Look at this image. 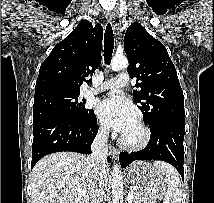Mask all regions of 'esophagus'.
<instances>
[{
  "label": "esophagus",
  "instance_id": "1",
  "mask_svg": "<svg viewBox=\"0 0 214 203\" xmlns=\"http://www.w3.org/2000/svg\"><path fill=\"white\" fill-rule=\"evenodd\" d=\"M106 16L109 22L112 24L115 23V15L112 11H108ZM110 154L114 160H117L119 156V150L113 146H110Z\"/></svg>",
  "mask_w": 214,
  "mask_h": 203
}]
</instances>
